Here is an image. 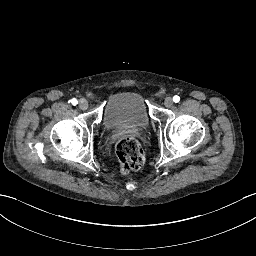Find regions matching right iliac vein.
<instances>
[{
	"label": "right iliac vein",
	"mask_w": 256,
	"mask_h": 256,
	"mask_svg": "<svg viewBox=\"0 0 256 256\" xmlns=\"http://www.w3.org/2000/svg\"><path fill=\"white\" fill-rule=\"evenodd\" d=\"M88 106H89V102L86 99H81L79 101V108L81 110H86L88 108Z\"/></svg>",
	"instance_id": "right-iliac-vein-1"
}]
</instances>
